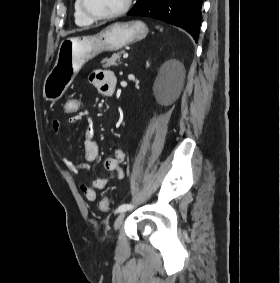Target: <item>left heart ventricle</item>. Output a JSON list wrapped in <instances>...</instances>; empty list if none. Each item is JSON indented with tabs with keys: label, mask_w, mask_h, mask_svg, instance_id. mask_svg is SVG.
I'll return each instance as SVG.
<instances>
[{
	"label": "left heart ventricle",
	"mask_w": 280,
	"mask_h": 283,
	"mask_svg": "<svg viewBox=\"0 0 280 283\" xmlns=\"http://www.w3.org/2000/svg\"><path fill=\"white\" fill-rule=\"evenodd\" d=\"M87 8L94 14L105 15L119 10L125 0H85Z\"/></svg>",
	"instance_id": "left-heart-ventricle-1"
}]
</instances>
